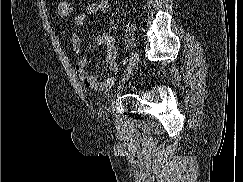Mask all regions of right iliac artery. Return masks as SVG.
<instances>
[{
	"label": "right iliac artery",
	"instance_id": "82829eb1",
	"mask_svg": "<svg viewBox=\"0 0 243 182\" xmlns=\"http://www.w3.org/2000/svg\"><path fill=\"white\" fill-rule=\"evenodd\" d=\"M127 61H128V59H127V58H125V59H124V61H123V63H124V64H126V63H127Z\"/></svg>",
	"mask_w": 243,
	"mask_h": 182
}]
</instances>
